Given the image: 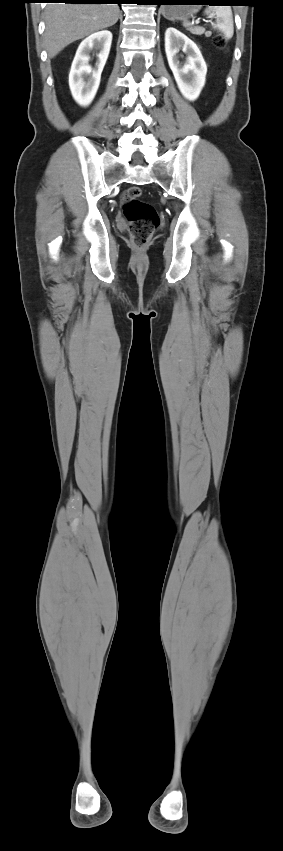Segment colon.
Returning <instances> with one entry per match:
<instances>
[{"instance_id":"1","label":"colon","mask_w":283,"mask_h":851,"mask_svg":"<svg viewBox=\"0 0 283 851\" xmlns=\"http://www.w3.org/2000/svg\"><path fill=\"white\" fill-rule=\"evenodd\" d=\"M214 42L218 48H224L226 44L221 36H217ZM141 194L140 187L132 186L124 190L121 195V205L129 222L132 242L138 249L146 245L159 224L156 209L150 203L140 200Z\"/></svg>"}]
</instances>
